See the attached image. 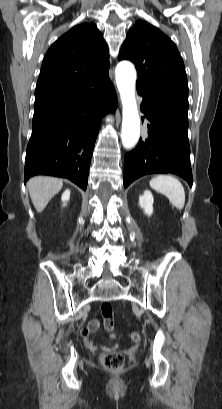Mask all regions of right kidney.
<instances>
[{"label": "right kidney", "instance_id": "right-kidney-1", "mask_svg": "<svg viewBox=\"0 0 222 409\" xmlns=\"http://www.w3.org/2000/svg\"><path fill=\"white\" fill-rule=\"evenodd\" d=\"M69 198H70V190H65L64 193L62 194V197H61V200H62L64 206L66 205Z\"/></svg>", "mask_w": 222, "mask_h": 409}]
</instances>
